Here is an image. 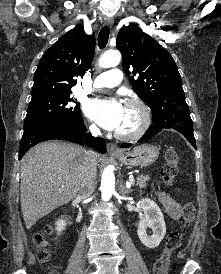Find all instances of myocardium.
Segmentation results:
<instances>
[{
  "mask_svg": "<svg viewBox=\"0 0 221 274\" xmlns=\"http://www.w3.org/2000/svg\"><path fill=\"white\" fill-rule=\"evenodd\" d=\"M125 106L135 107L140 114V123L132 131H119L115 132V136L121 140H136L139 139L148 130L151 124V112L149 107L142 100L138 98H129L125 101Z\"/></svg>",
  "mask_w": 221,
  "mask_h": 274,
  "instance_id": "f54148a6",
  "label": "myocardium"
}]
</instances>
